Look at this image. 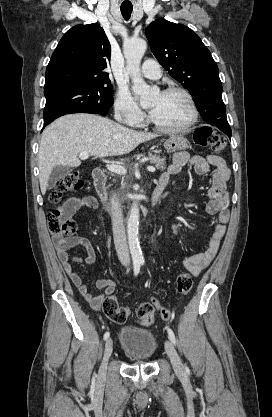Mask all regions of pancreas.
<instances>
[{
	"mask_svg": "<svg viewBox=\"0 0 272 417\" xmlns=\"http://www.w3.org/2000/svg\"><path fill=\"white\" fill-rule=\"evenodd\" d=\"M148 160L150 163L155 164V167L157 169H160L161 171L165 170L166 168V159L161 158L160 156L153 155L152 153H148Z\"/></svg>",
	"mask_w": 272,
	"mask_h": 417,
	"instance_id": "pancreas-1",
	"label": "pancreas"
}]
</instances>
